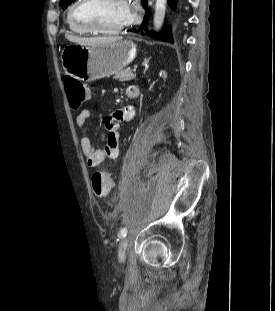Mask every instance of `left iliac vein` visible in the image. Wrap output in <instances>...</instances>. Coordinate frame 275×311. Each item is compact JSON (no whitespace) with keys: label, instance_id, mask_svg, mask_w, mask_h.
Here are the masks:
<instances>
[{"label":"left iliac vein","instance_id":"1","mask_svg":"<svg viewBox=\"0 0 275 311\" xmlns=\"http://www.w3.org/2000/svg\"><path fill=\"white\" fill-rule=\"evenodd\" d=\"M128 246V238H124L118 246V259L123 262L125 259V254Z\"/></svg>","mask_w":275,"mask_h":311}]
</instances>
